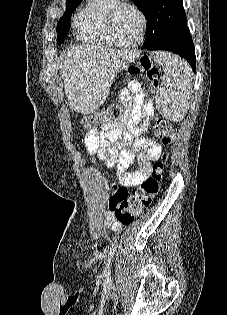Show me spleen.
<instances>
[{"instance_id": "spleen-1", "label": "spleen", "mask_w": 227, "mask_h": 315, "mask_svg": "<svg viewBox=\"0 0 227 315\" xmlns=\"http://www.w3.org/2000/svg\"><path fill=\"white\" fill-rule=\"evenodd\" d=\"M154 61L162 66L164 76L155 96L156 108L170 120L184 118L192 92V73L184 60L165 52H155Z\"/></svg>"}]
</instances>
